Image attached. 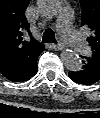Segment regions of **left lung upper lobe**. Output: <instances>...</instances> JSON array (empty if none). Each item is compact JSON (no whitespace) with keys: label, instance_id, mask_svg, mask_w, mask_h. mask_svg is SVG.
Instances as JSON below:
<instances>
[{"label":"left lung upper lobe","instance_id":"5c2ea615","mask_svg":"<svg viewBox=\"0 0 100 118\" xmlns=\"http://www.w3.org/2000/svg\"><path fill=\"white\" fill-rule=\"evenodd\" d=\"M80 3L82 26L92 31V36L87 38L93 51L91 58L100 63V0H80Z\"/></svg>","mask_w":100,"mask_h":118}]
</instances>
